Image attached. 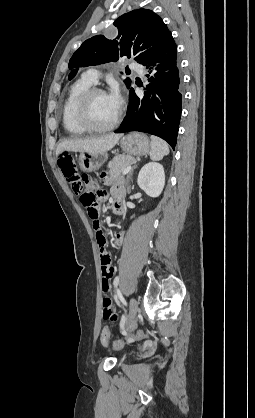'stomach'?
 <instances>
[{"mask_svg":"<svg viewBox=\"0 0 255 418\" xmlns=\"http://www.w3.org/2000/svg\"><path fill=\"white\" fill-rule=\"evenodd\" d=\"M122 150L130 156L146 155L151 150L149 138L142 133H130L120 140ZM107 160V153L83 152L79 156V166L84 172L97 171Z\"/></svg>","mask_w":255,"mask_h":418,"instance_id":"obj_1","label":"stomach"}]
</instances>
